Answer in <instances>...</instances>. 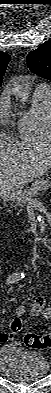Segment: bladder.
Segmentation results:
<instances>
[{
	"instance_id": "bladder-1",
	"label": "bladder",
	"mask_w": 51,
	"mask_h": 393,
	"mask_svg": "<svg viewBox=\"0 0 51 393\" xmlns=\"http://www.w3.org/2000/svg\"><path fill=\"white\" fill-rule=\"evenodd\" d=\"M0 369L11 380L34 381L49 373L50 364L40 351L8 344L0 349Z\"/></svg>"
}]
</instances>
